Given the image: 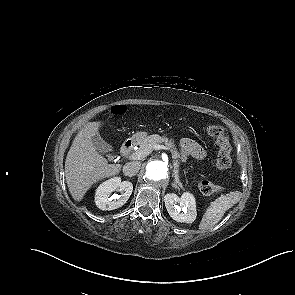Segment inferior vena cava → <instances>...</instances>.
I'll list each match as a JSON object with an SVG mask.
<instances>
[{
  "mask_svg": "<svg viewBox=\"0 0 295 295\" xmlns=\"http://www.w3.org/2000/svg\"><path fill=\"white\" fill-rule=\"evenodd\" d=\"M141 163L137 161L128 162L123 166V173L126 176L132 177L136 175L140 169Z\"/></svg>",
  "mask_w": 295,
  "mask_h": 295,
  "instance_id": "obj_1",
  "label": "inferior vena cava"
}]
</instances>
